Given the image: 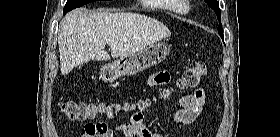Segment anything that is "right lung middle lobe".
Wrapping results in <instances>:
<instances>
[{
  "label": "right lung middle lobe",
  "instance_id": "obj_1",
  "mask_svg": "<svg viewBox=\"0 0 280 137\" xmlns=\"http://www.w3.org/2000/svg\"><path fill=\"white\" fill-rule=\"evenodd\" d=\"M97 0H67L66 5L64 6L63 14H66L68 11L75 9L77 7H81L87 3L94 2Z\"/></svg>",
  "mask_w": 280,
  "mask_h": 137
}]
</instances>
